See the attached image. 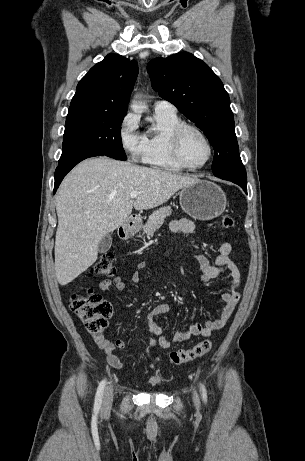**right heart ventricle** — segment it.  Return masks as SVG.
Wrapping results in <instances>:
<instances>
[{"label":"right heart ventricle","mask_w":305,"mask_h":461,"mask_svg":"<svg viewBox=\"0 0 305 461\" xmlns=\"http://www.w3.org/2000/svg\"><path fill=\"white\" fill-rule=\"evenodd\" d=\"M182 123L176 113L155 112V123L141 136V162L167 171L183 170L172 157L169 146L171 133Z\"/></svg>","instance_id":"obj_1"}]
</instances>
